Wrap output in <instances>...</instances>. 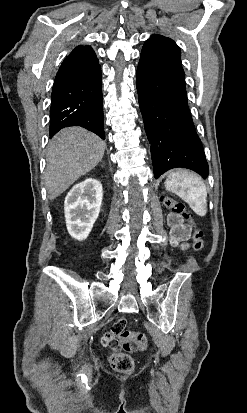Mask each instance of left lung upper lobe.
Here are the masks:
<instances>
[{"label": "left lung upper lobe", "mask_w": 247, "mask_h": 413, "mask_svg": "<svg viewBox=\"0 0 247 413\" xmlns=\"http://www.w3.org/2000/svg\"><path fill=\"white\" fill-rule=\"evenodd\" d=\"M154 48L158 51H161L169 56H172L175 59L180 60V48L179 46L170 38L164 37L162 35H152L148 39L143 48ZM181 61V60H180Z\"/></svg>", "instance_id": "left-lung-upper-lobe-1"}]
</instances>
